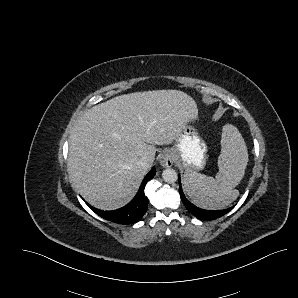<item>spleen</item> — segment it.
Wrapping results in <instances>:
<instances>
[{
    "mask_svg": "<svg viewBox=\"0 0 298 298\" xmlns=\"http://www.w3.org/2000/svg\"><path fill=\"white\" fill-rule=\"evenodd\" d=\"M219 171L215 178L187 169L185 190L192 201L206 209H222L239 196L235 187L242 180L249 160L246 143L232 124H225L221 135Z\"/></svg>",
    "mask_w": 298,
    "mask_h": 298,
    "instance_id": "obj_1",
    "label": "spleen"
}]
</instances>
